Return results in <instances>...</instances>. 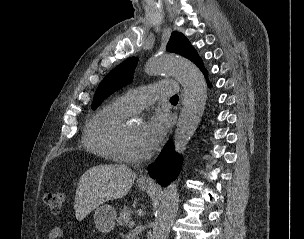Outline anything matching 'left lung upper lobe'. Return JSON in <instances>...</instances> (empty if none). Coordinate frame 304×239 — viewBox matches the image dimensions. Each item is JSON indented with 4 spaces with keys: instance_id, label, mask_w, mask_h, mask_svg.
<instances>
[{
    "instance_id": "5c2ea615",
    "label": "left lung upper lobe",
    "mask_w": 304,
    "mask_h": 239,
    "mask_svg": "<svg viewBox=\"0 0 304 239\" xmlns=\"http://www.w3.org/2000/svg\"><path fill=\"white\" fill-rule=\"evenodd\" d=\"M167 50L181 54L196 65L202 61V59L198 56L196 50L190 44L189 40L182 33H172L167 44ZM136 65L137 58L131 57L118 65L111 72H109L101 81L95 92L92 109L97 108L101 102L109 95H111L114 91L122 88L127 83H129L132 79V73Z\"/></svg>"
}]
</instances>
